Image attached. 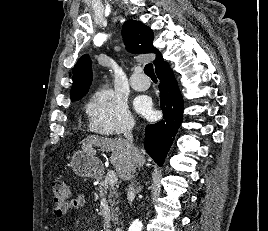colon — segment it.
I'll list each match as a JSON object with an SVG mask.
<instances>
[{"instance_id": "5ec220e1", "label": "colon", "mask_w": 268, "mask_h": 231, "mask_svg": "<svg viewBox=\"0 0 268 231\" xmlns=\"http://www.w3.org/2000/svg\"><path fill=\"white\" fill-rule=\"evenodd\" d=\"M51 196L56 208L66 211L70 202V189L60 180L51 183Z\"/></svg>"}]
</instances>
